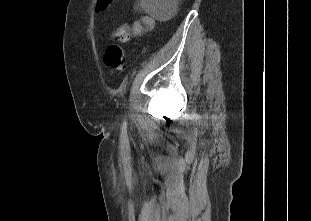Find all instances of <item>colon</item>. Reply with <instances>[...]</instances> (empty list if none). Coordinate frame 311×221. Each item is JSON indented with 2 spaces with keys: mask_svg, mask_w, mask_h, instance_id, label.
<instances>
[{
  "mask_svg": "<svg viewBox=\"0 0 311 221\" xmlns=\"http://www.w3.org/2000/svg\"><path fill=\"white\" fill-rule=\"evenodd\" d=\"M109 0H96L95 9H106ZM129 25L121 26L115 33L121 41L128 40ZM105 62L113 74H118L124 70V52L115 44L110 45L105 52Z\"/></svg>",
  "mask_w": 311,
  "mask_h": 221,
  "instance_id": "1",
  "label": "colon"
}]
</instances>
